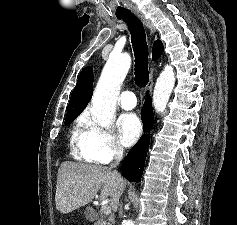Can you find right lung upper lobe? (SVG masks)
<instances>
[{
    "instance_id": "cb5924a9",
    "label": "right lung upper lobe",
    "mask_w": 237,
    "mask_h": 225,
    "mask_svg": "<svg viewBox=\"0 0 237 225\" xmlns=\"http://www.w3.org/2000/svg\"><path fill=\"white\" fill-rule=\"evenodd\" d=\"M163 52L161 41L156 40L153 44L152 59L157 60ZM93 91V68L85 67L79 75L77 84L72 91L67 115L81 113L89 103Z\"/></svg>"
}]
</instances>
